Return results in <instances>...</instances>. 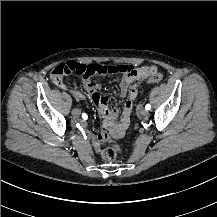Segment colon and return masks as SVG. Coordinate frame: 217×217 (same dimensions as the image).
<instances>
[{
    "label": "colon",
    "mask_w": 217,
    "mask_h": 217,
    "mask_svg": "<svg viewBox=\"0 0 217 217\" xmlns=\"http://www.w3.org/2000/svg\"><path fill=\"white\" fill-rule=\"evenodd\" d=\"M156 69L153 66H139L135 67L129 64H114V65H103V64H92V65H69V66H60L55 71H51L48 74V79L51 82H57L58 80L66 79L70 75L74 74L79 77H88L98 74H115V73H124V74H136L141 78L145 74H150V72ZM162 79L161 72H158L155 77H151L150 80H147L146 83L153 84L157 83ZM137 128L136 125H134ZM97 137L102 143L107 142L110 146L113 145L119 153H124L125 149L120 144L115 142L114 139L107 136L103 130H100L97 133ZM101 158L106 161H112L116 158V154L110 150V148H102Z\"/></svg>",
    "instance_id": "obj_1"
}]
</instances>
